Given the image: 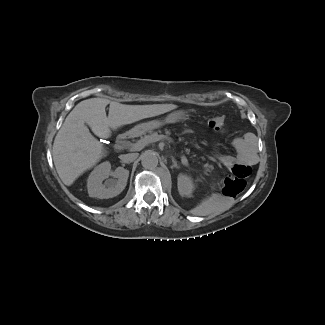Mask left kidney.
<instances>
[{
	"mask_svg": "<svg viewBox=\"0 0 325 325\" xmlns=\"http://www.w3.org/2000/svg\"><path fill=\"white\" fill-rule=\"evenodd\" d=\"M178 191L181 196L190 197L194 190V183L190 176L187 174H179L178 176Z\"/></svg>",
	"mask_w": 325,
	"mask_h": 325,
	"instance_id": "obj_1",
	"label": "left kidney"
}]
</instances>
